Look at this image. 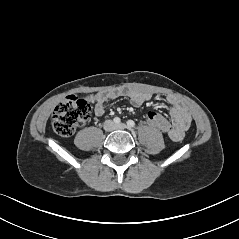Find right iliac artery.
Returning <instances> with one entry per match:
<instances>
[{
	"label": "right iliac artery",
	"mask_w": 239,
	"mask_h": 239,
	"mask_svg": "<svg viewBox=\"0 0 239 239\" xmlns=\"http://www.w3.org/2000/svg\"><path fill=\"white\" fill-rule=\"evenodd\" d=\"M113 121H114V123L119 124L121 120H120L119 117H115V118L113 119Z\"/></svg>",
	"instance_id": "1"
}]
</instances>
